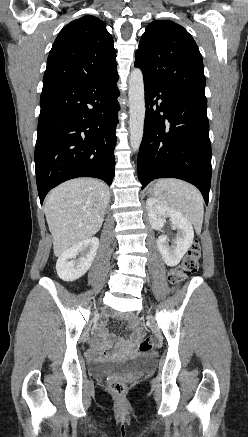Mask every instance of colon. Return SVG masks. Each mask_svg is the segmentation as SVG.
<instances>
[{
  "label": "colon",
  "instance_id": "colon-1",
  "mask_svg": "<svg viewBox=\"0 0 248 437\" xmlns=\"http://www.w3.org/2000/svg\"><path fill=\"white\" fill-rule=\"evenodd\" d=\"M200 245L197 241L193 242L185 254L182 262L168 273V279L171 284L178 285L191 273L195 272L199 266ZM154 339L150 336L143 339L139 349L143 353L150 352L154 347ZM110 390L118 397L126 393V384L123 381L112 379L108 382Z\"/></svg>",
  "mask_w": 248,
  "mask_h": 437
}]
</instances>
